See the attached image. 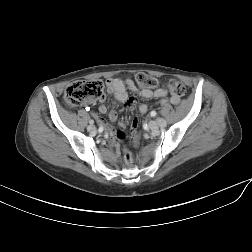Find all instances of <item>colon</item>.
<instances>
[{
    "label": "colon",
    "instance_id": "1",
    "mask_svg": "<svg viewBox=\"0 0 252 252\" xmlns=\"http://www.w3.org/2000/svg\"><path fill=\"white\" fill-rule=\"evenodd\" d=\"M135 80L141 88H155L158 84L157 79L146 73H139L135 76ZM166 89L176 97H183L186 94V88L182 82L176 79L168 81ZM104 97V86L101 81L76 82L69 86L64 94L65 103L71 107L83 104L84 102L102 99ZM138 119L135 117L131 122V140L137 143L139 135L137 133ZM119 139L125 138L124 127H120L116 131ZM124 158L128 165L133 162L132 154L128 149H124Z\"/></svg>",
    "mask_w": 252,
    "mask_h": 252
}]
</instances>
